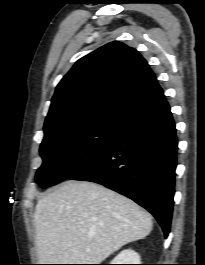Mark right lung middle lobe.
Segmentation results:
<instances>
[{
    "label": "right lung middle lobe",
    "mask_w": 205,
    "mask_h": 265,
    "mask_svg": "<svg viewBox=\"0 0 205 265\" xmlns=\"http://www.w3.org/2000/svg\"><path fill=\"white\" fill-rule=\"evenodd\" d=\"M120 126L97 122L63 132L45 133L40 145L43 164L35 181L46 188L71 177L111 142Z\"/></svg>",
    "instance_id": "right-lung-middle-lobe-1"
}]
</instances>
